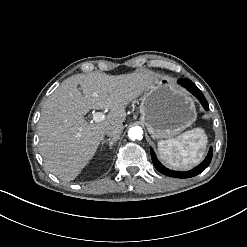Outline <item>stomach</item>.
I'll return each instance as SVG.
<instances>
[{
  "label": "stomach",
  "mask_w": 247,
  "mask_h": 247,
  "mask_svg": "<svg viewBox=\"0 0 247 247\" xmlns=\"http://www.w3.org/2000/svg\"><path fill=\"white\" fill-rule=\"evenodd\" d=\"M141 120L154 139H176L197 118L194 100L175 80L163 77L150 85L140 105Z\"/></svg>",
  "instance_id": "1"
}]
</instances>
